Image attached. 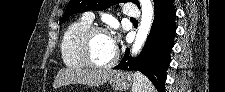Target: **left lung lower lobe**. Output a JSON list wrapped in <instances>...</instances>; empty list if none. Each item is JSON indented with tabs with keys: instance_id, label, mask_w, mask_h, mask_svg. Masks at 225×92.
<instances>
[{
	"instance_id": "1",
	"label": "left lung lower lobe",
	"mask_w": 225,
	"mask_h": 92,
	"mask_svg": "<svg viewBox=\"0 0 225 92\" xmlns=\"http://www.w3.org/2000/svg\"><path fill=\"white\" fill-rule=\"evenodd\" d=\"M154 7L153 25L140 55L136 58L129 57L127 49L123 59L114 69L140 71L151 80L159 92H165L166 70L174 46L176 10L173 0H157Z\"/></svg>"
}]
</instances>
